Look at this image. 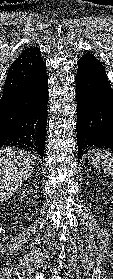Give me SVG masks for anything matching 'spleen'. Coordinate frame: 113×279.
I'll list each match as a JSON object with an SVG mask.
<instances>
[{"mask_svg":"<svg viewBox=\"0 0 113 279\" xmlns=\"http://www.w3.org/2000/svg\"><path fill=\"white\" fill-rule=\"evenodd\" d=\"M88 160L95 168L102 169L113 178V154L109 150L93 149L88 153Z\"/></svg>","mask_w":113,"mask_h":279,"instance_id":"3e777b00","label":"spleen"}]
</instances>
